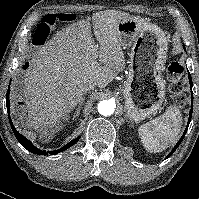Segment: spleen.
<instances>
[{"label":"spleen","instance_id":"spleen-1","mask_svg":"<svg viewBox=\"0 0 199 199\" xmlns=\"http://www.w3.org/2000/svg\"><path fill=\"white\" fill-rule=\"evenodd\" d=\"M181 125L182 116L179 109L169 106L164 114L140 126L138 134L147 151L158 153L175 143Z\"/></svg>","mask_w":199,"mask_h":199}]
</instances>
